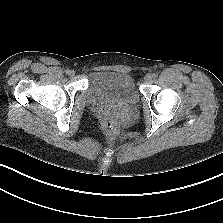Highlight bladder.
Instances as JSON below:
<instances>
[{"instance_id":"bladder-1","label":"bladder","mask_w":223,"mask_h":223,"mask_svg":"<svg viewBox=\"0 0 223 223\" xmlns=\"http://www.w3.org/2000/svg\"><path fill=\"white\" fill-rule=\"evenodd\" d=\"M84 96L90 103L114 102L136 105L139 100L133 78L129 74L112 71L92 73Z\"/></svg>"}]
</instances>
